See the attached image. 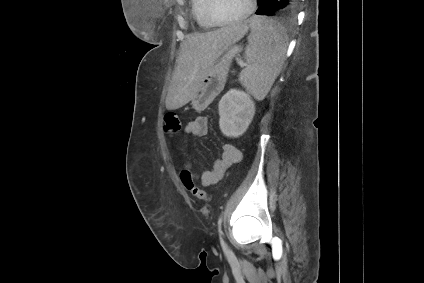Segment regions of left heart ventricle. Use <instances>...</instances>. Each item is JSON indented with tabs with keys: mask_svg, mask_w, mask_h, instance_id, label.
<instances>
[{
	"mask_svg": "<svg viewBox=\"0 0 424 283\" xmlns=\"http://www.w3.org/2000/svg\"><path fill=\"white\" fill-rule=\"evenodd\" d=\"M249 6V0H214V15L222 20H231L242 15Z\"/></svg>",
	"mask_w": 424,
	"mask_h": 283,
	"instance_id": "left-heart-ventricle-1",
	"label": "left heart ventricle"
}]
</instances>
